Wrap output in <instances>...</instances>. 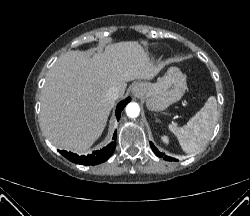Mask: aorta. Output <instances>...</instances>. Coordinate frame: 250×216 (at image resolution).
Listing matches in <instances>:
<instances>
[{"mask_svg":"<svg viewBox=\"0 0 250 216\" xmlns=\"http://www.w3.org/2000/svg\"><path fill=\"white\" fill-rule=\"evenodd\" d=\"M140 113V107L137 103L135 102H130L127 106H126V114L128 117L130 118H136L139 116Z\"/></svg>","mask_w":250,"mask_h":216,"instance_id":"762f6f07","label":"aorta"}]
</instances>
